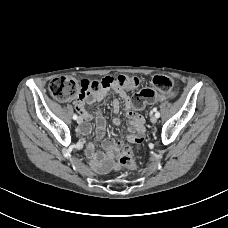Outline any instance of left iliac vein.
I'll return each instance as SVG.
<instances>
[{"mask_svg": "<svg viewBox=\"0 0 228 228\" xmlns=\"http://www.w3.org/2000/svg\"><path fill=\"white\" fill-rule=\"evenodd\" d=\"M150 121L151 123L155 124L157 122V117L155 115H153L151 118H150Z\"/></svg>", "mask_w": 228, "mask_h": 228, "instance_id": "4c4485c4", "label": "left iliac vein"}]
</instances>
